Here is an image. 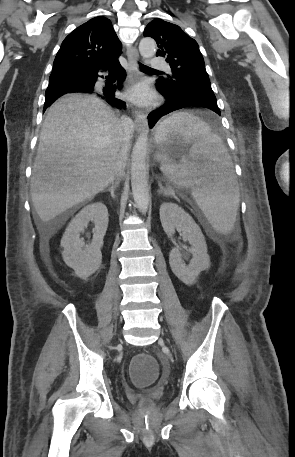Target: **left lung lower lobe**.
Instances as JSON below:
<instances>
[{
    "label": "left lung lower lobe",
    "mask_w": 295,
    "mask_h": 457,
    "mask_svg": "<svg viewBox=\"0 0 295 457\" xmlns=\"http://www.w3.org/2000/svg\"><path fill=\"white\" fill-rule=\"evenodd\" d=\"M160 93L165 96L166 103L149 114L148 121L151 125H154L162 116L172 111L190 106L205 107L220 115L214 93H191L186 95H176L164 91H160Z\"/></svg>",
    "instance_id": "0a47b994"
}]
</instances>
